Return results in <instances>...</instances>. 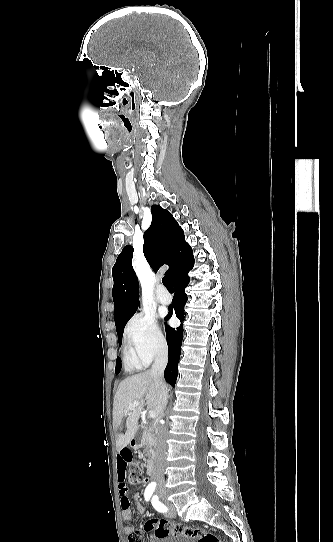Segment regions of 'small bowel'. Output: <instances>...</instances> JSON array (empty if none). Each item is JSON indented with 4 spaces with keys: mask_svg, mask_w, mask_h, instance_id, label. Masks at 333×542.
I'll return each mask as SVG.
<instances>
[{
    "mask_svg": "<svg viewBox=\"0 0 333 542\" xmlns=\"http://www.w3.org/2000/svg\"><path fill=\"white\" fill-rule=\"evenodd\" d=\"M131 449L129 447L122 448L118 454L117 457V489H118V495L120 499V509L122 513V517L124 520L131 522L132 521V510H131V502L128 498V487L125 483L126 479V469L128 463L132 459L131 455ZM150 482L149 476H144L143 479L140 481L141 489H146V484ZM134 501L137 505V510L139 513H143L144 509L141 505L142 496L139 493H136L134 495ZM134 525L130 524L125 527V532L127 534H130L134 530Z\"/></svg>",
    "mask_w": 333,
    "mask_h": 542,
    "instance_id": "obj_1",
    "label": "small bowel"
}]
</instances>
